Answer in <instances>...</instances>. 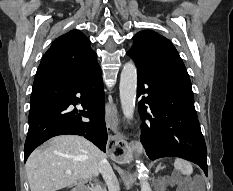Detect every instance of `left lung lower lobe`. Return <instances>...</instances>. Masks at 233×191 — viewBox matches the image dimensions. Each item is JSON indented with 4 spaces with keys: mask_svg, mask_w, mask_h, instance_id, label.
<instances>
[{
    "mask_svg": "<svg viewBox=\"0 0 233 191\" xmlns=\"http://www.w3.org/2000/svg\"><path fill=\"white\" fill-rule=\"evenodd\" d=\"M137 71V96L148 94L139 102L140 140L148 157H180L199 165L207 176V149L191 86L143 68ZM145 104L150 105L151 115Z\"/></svg>",
    "mask_w": 233,
    "mask_h": 191,
    "instance_id": "0a47b994",
    "label": "left lung lower lobe"
}]
</instances>
